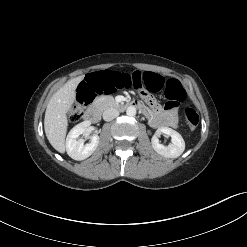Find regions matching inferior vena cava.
<instances>
[{
	"instance_id": "obj_1",
	"label": "inferior vena cava",
	"mask_w": 247,
	"mask_h": 247,
	"mask_svg": "<svg viewBox=\"0 0 247 247\" xmlns=\"http://www.w3.org/2000/svg\"><path fill=\"white\" fill-rule=\"evenodd\" d=\"M118 115H119V112L115 108H107L103 112V119L105 121H111L115 119L116 117H118Z\"/></svg>"
}]
</instances>
